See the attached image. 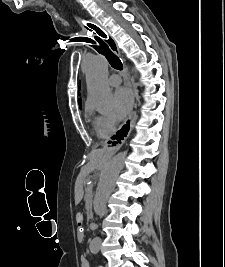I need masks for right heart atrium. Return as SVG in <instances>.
I'll return each instance as SVG.
<instances>
[{"instance_id":"1","label":"right heart atrium","mask_w":225,"mask_h":267,"mask_svg":"<svg viewBox=\"0 0 225 267\" xmlns=\"http://www.w3.org/2000/svg\"><path fill=\"white\" fill-rule=\"evenodd\" d=\"M94 126L100 135L108 136L116 130L117 122L112 115L101 114L95 117Z\"/></svg>"}]
</instances>
